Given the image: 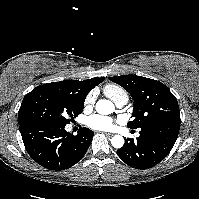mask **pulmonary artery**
I'll return each mask as SVG.
<instances>
[{"label":"pulmonary artery","instance_id":"1","mask_svg":"<svg viewBox=\"0 0 199 199\" xmlns=\"http://www.w3.org/2000/svg\"><path fill=\"white\" fill-rule=\"evenodd\" d=\"M111 99L114 101V103L116 104L117 107H122L127 103L128 96L116 95V96L112 97Z\"/></svg>","mask_w":199,"mask_h":199}]
</instances>
